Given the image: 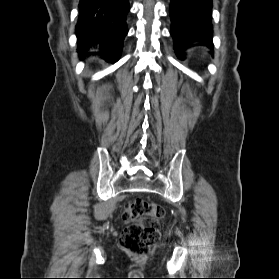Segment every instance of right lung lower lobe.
Here are the masks:
<instances>
[{
    "label": "right lung lower lobe",
    "instance_id": "1",
    "mask_svg": "<svg viewBox=\"0 0 279 279\" xmlns=\"http://www.w3.org/2000/svg\"><path fill=\"white\" fill-rule=\"evenodd\" d=\"M76 26L79 55H89L88 48L100 43L102 58L116 62L128 30L126 15L128 0H80Z\"/></svg>",
    "mask_w": 279,
    "mask_h": 279
}]
</instances>
